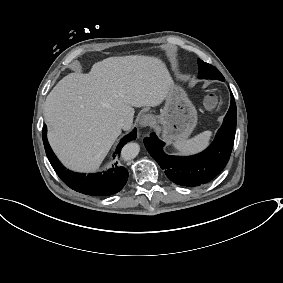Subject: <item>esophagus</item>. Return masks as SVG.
Returning <instances> with one entry per match:
<instances>
[{
    "label": "esophagus",
    "instance_id": "esophagus-1",
    "mask_svg": "<svg viewBox=\"0 0 283 283\" xmlns=\"http://www.w3.org/2000/svg\"><path fill=\"white\" fill-rule=\"evenodd\" d=\"M155 121L156 119L153 115L145 114L140 118L139 124H140V127H150L155 124Z\"/></svg>",
    "mask_w": 283,
    "mask_h": 283
}]
</instances>
